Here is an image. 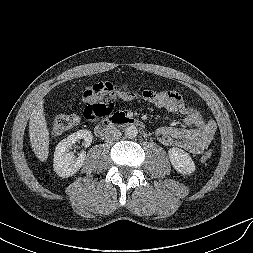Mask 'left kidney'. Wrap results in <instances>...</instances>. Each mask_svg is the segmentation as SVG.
Masks as SVG:
<instances>
[{
	"instance_id": "5707ae66",
	"label": "left kidney",
	"mask_w": 253,
	"mask_h": 253,
	"mask_svg": "<svg viewBox=\"0 0 253 253\" xmlns=\"http://www.w3.org/2000/svg\"><path fill=\"white\" fill-rule=\"evenodd\" d=\"M168 154L171 164L177 172L183 175H190L195 172V164L187 152L180 148L173 147L169 149Z\"/></svg>"
}]
</instances>
